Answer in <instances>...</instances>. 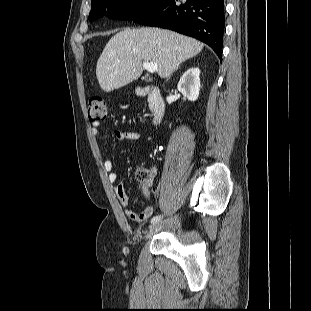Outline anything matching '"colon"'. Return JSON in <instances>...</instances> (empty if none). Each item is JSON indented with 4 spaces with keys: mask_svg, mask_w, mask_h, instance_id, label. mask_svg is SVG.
<instances>
[{
    "mask_svg": "<svg viewBox=\"0 0 311 311\" xmlns=\"http://www.w3.org/2000/svg\"><path fill=\"white\" fill-rule=\"evenodd\" d=\"M107 116V108L104 100L101 97H93L88 105V118L92 122H100ZM138 177L141 180H148L149 175L145 171H140Z\"/></svg>",
    "mask_w": 311,
    "mask_h": 311,
    "instance_id": "5ec220e1",
    "label": "colon"
}]
</instances>
